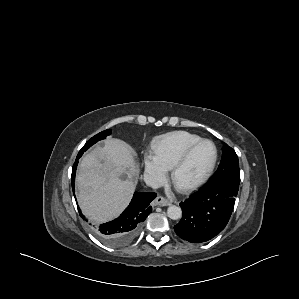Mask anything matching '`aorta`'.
Segmentation results:
<instances>
[{
  "label": "aorta",
  "mask_w": 299,
  "mask_h": 299,
  "mask_svg": "<svg viewBox=\"0 0 299 299\" xmlns=\"http://www.w3.org/2000/svg\"><path fill=\"white\" fill-rule=\"evenodd\" d=\"M167 215L172 220H178L182 217V210L178 206L171 205L167 209Z\"/></svg>",
  "instance_id": "aorta-1"
}]
</instances>
